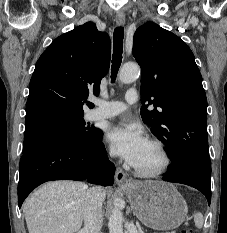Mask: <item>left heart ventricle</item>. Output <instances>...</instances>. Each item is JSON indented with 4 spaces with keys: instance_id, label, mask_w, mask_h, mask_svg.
Here are the masks:
<instances>
[{
    "instance_id": "1",
    "label": "left heart ventricle",
    "mask_w": 227,
    "mask_h": 233,
    "mask_svg": "<svg viewBox=\"0 0 227 233\" xmlns=\"http://www.w3.org/2000/svg\"><path fill=\"white\" fill-rule=\"evenodd\" d=\"M162 161L159 150L147 142L133 165L143 170H155L161 166Z\"/></svg>"
}]
</instances>
